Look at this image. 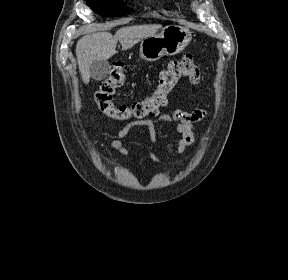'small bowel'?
I'll return each mask as SVG.
<instances>
[{
	"mask_svg": "<svg viewBox=\"0 0 288 280\" xmlns=\"http://www.w3.org/2000/svg\"><path fill=\"white\" fill-rule=\"evenodd\" d=\"M205 117V111L196 109L192 112H186L179 109L173 110L168 114H161L155 119L136 120L129 123L124 128L117 132L118 138H124L133 127L145 126L147 127L151 136L155 134V126L160 122L172 125L175 132L180 135L177 142V149L180 154L184 153L194 143V135L192 132V124L201 121ZM111 148L119 150L121 154L127 156L129 154L125 146L119 141L115 140L111 143ZM149 158L158 162L153 154H149Z\"/></svg>",
	"mask_w": 288,
	"mask_h": 280,
	"instance_id": "c3829d8e",
	"label": "small bowel"
}]
</instances>
